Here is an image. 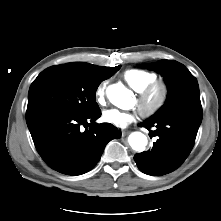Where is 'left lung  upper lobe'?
<instances>
[{
  "label": "left lung upper lobe",
  "mask_w": 221,
  "mask_h": 221,
  "mask_svg": "<svg viewBox=\"0 0 221 221\" xmlns=\"http://www.w3.org/2000/svg\"><path fill=\"white\" fill-rule=\"evenodd\" d=\"M144 67L164 76L168 86L165 104L149 119L190 110L193 106L201 104L197 80L183 64L172 60H160Z\"/></svg>",
  "instance_id": "obj_1"
}]
</instances>
